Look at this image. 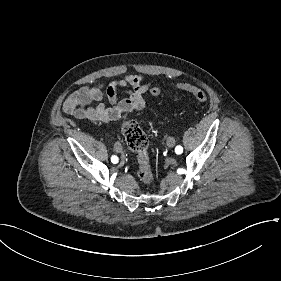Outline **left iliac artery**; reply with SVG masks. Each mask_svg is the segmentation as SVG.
Listing matches in <instances>:
<instances>
[{
    "label": "left iliac artery",
    "instance_id": "1",
    "mask_svg": "<svg viewBox=\"0 0 281 281\" xmlns=\"http://www.w3.org/2000/svg\"><path fill=\"white\" fill-rule=\"evenodd\" d=\"M175 152H176L177 154H181V153L183 152L182 146H177V147L175 148Z\"/></svg>",
    "mask_w": 281,
    "mask_h": 281
}]
</instances>
